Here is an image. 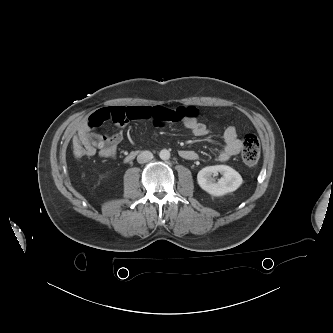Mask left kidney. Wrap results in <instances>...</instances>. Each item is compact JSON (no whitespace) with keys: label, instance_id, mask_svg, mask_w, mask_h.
<instances>
[{"label":"left kidney","instance_id":"obj_1","mask_svg":"<svg viewBox=\"0 0 333 333\" xmlns=\"http://www.w3.org/2000/svg\"><path fill=\"white\" fill-rule=\"evenodd\" d=\"M223 175L217 182L212 175L217 173ZM199 186L207 193L214 196H222L237 190L243 183L241 175L233 168L226 165L207 166L199 171L197 175Z\"/></svg>","mask_w":333,"mask_h":333}]
</instances>
